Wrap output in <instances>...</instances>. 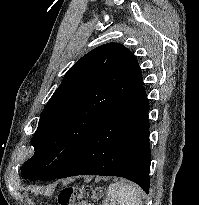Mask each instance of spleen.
<instances>
[{
	"label": "spleen",
	"instance_id": "obj_1",
	"mask_svg": "<svg viewBox=\"0 0 199 205\" xmlns=\"http://www.w3.org/2000/svg\"><path fill=\"white\" fill-rule=\"evenodd\" d=\"M107 196L110 205H142L140 190L135 185L124 181L109 185Z\"/></svg>",
	"mask_w": 199,
	"mask_h": 205
}]
</instances>
